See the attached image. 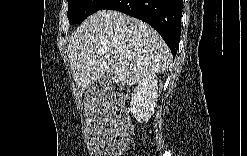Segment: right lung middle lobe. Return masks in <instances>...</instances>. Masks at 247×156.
Segmentation results:
<instances>
[{
	"label": "right lung middle lobe",
	"mask_w": 247,
	"mask_h": 156,
	"mask_svg": "<svg viewBox=\"0 0 247 156\" xmlns=\"http://www.w3.org/2000/svg\"><path fill=\"white\" fill-rule=\"evenodd\" d=\"M108 0H69L67 17L70 24L84 21L89 15L100 10Z\"/></svg>",
	"instance_id": "right-lung-middle-lobe-1"
}]
</instances>
